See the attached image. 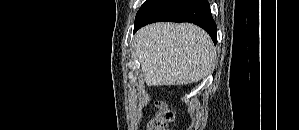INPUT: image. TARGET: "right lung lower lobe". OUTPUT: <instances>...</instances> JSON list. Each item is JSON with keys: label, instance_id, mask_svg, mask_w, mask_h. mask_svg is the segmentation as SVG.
Here are the masks:
<instances>
[{"label": "right lung lower lobe", "instance_id": "right-lung-lower-lobe-1", "mask_svg": "<svg viewBox=\"0 0 299 130\" xmlns=\"http://www.w3.org/2000/svg\"><path fill=\"white\" fill-rule=\"evenodd\" d=\"M158 21L194 23L207 31L216 44L217 26L207 0H150L136 15L134 32Z\"/></svg>", "mask_w": 299, "mask_h": 130}]
</instances>
